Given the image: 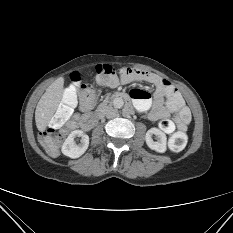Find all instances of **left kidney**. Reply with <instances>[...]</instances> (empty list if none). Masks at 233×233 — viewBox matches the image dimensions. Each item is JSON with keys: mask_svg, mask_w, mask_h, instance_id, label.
I'll list each match as a JSON object with an SVG mask.
<instances>
[{"mask_svg": "<svg viewBox=\"0 0 233 233\" xmlns=\"http://www.w3.org/2000/svg\"><path fill=\"white\" fill-rule=\"evenodd\" d=\"M152 135L157 136L158 140L154 141ZM145 141L147 146L159 153H164L166 151L167 137L164 132L158 128H151L146 132Z\"/></svg>", "mask_w": 233, "mask_h": 233, "instance_id": "1", "label": "left kidney"}]
</instances>
